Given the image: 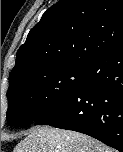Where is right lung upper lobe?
I'll list each match as a JSON object with an SVG mask.
<instances>
[{
  "mask_svg": "<svg viewBox=\"0 0 123 152\" xmlns=\"http://www.w3.org/2000/svg\"><path fill=\"white\" fill-rule=\"evenodd\" d=\"M123 44V0H60L30 30L17 52L10 86L60 67L84 69Z\"/></svg>",
  "mask_w": 123,
  "mask_h": 152,
  "instance_id": "obj_1",
  "label": "right lung upper lobe"
}]
</instances>
